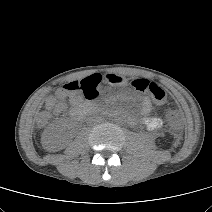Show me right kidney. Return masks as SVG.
I'll return each instance as SVG.
<instances>
[{
    "label": "right kidney",
    "instance_id": "ca27d5eb",
    "mask_svg": "<svg viewBox=\"0 0 212 212\" xmlns=\"http://www.w3.org/2000/svg\"><path fill=\"white\" fill-rule=\"evenodd\" d=\"M56 138H59V135L54 131H49L44 138V142L54 141Z\"/></svg>",
    "mask_w": 212,
    "mask_h": 212
}]
</instances>
